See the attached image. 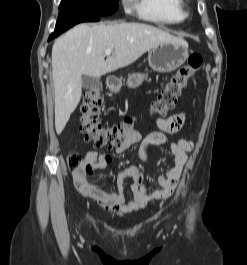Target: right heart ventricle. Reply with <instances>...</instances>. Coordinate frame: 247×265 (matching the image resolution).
<instances>
[{
  "label": "right heart ventricle",
  "instance_id": "e07e8e85",
  "mask_svg": "<svg viewBox=\"0 0 247 265\" xmlns=\"http://www.w3.org/2000/svg\"><path fill=\"white\" fill-rule=\"evenodd\" d=\"M138 15L160 24H177L184 21L187 11L184 0H132Z\"/></svg>",
  "mask_w": 247,
  "mask_h": 265
}]
</instances>
